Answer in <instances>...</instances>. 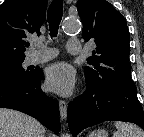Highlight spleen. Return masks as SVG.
I'll return each mask as SVG.
<instances>
[{
    "mask_svg": "<svg viewBox=\"0 0 144 137\" xmlns=\"http://www.w3.org/2000/svg\"><path fill=\"white\" fill-rule=\"evenodd\" d=\"M114 125L117 131L113 137H144V131L132 123L118 121Z\"/></svg>",
    "mask_w": 144,
    "mask_h": 137,
    "instance_id": "1",
    "label": "spleen"
}]
</instances>
